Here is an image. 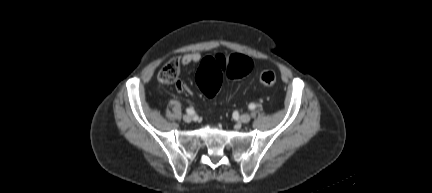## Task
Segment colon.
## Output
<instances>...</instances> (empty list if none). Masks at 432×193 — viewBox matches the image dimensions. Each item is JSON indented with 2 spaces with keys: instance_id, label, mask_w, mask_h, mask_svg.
Listing matches in <instances>:
<instances>
[{
  "instance_id": "obj_1",
  "label": "colon",
  "mask_w": 432,
  "mask_h": 193,
  "mask_svg": "<svg viewBox=\"0 0 432 193\" xmlns=\"http://www.w3.org/2000/svg\"><path fill=\"white\" fill-rule=\"evenodd\" d=\"M250 58L240 55H221L204 59L196 75L199 89L208 97H213L219 90L222 77L237 79L246 76L252 69ZM179 74V61L172 58L167 61L158 73V78L164 83H173ZM259 81L264 87L276 84L277 77L274 71L266 70L260 74Z\"/></svg>"
}]
</instances>
